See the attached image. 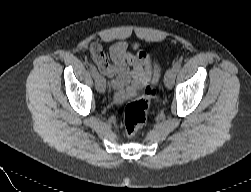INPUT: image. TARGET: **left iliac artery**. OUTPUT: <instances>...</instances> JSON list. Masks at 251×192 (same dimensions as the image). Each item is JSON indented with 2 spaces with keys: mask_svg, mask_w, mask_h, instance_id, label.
Wrapping results in <instances>:
<instances>
[{
  "mask_svg": "<svg viewBox=\"0 0 251 192\" xmlns=\"http://www.w3.org/2000/svg\"><path fill=\"white\" fill-rule=\"evenodd\" d=\"M180 68H181V63H180V61H177V62H175V63L173 64V69H174L176 72H178V71L180 70Z\"/></svg>",
  "mask_w": 251,
  "mask_h": 192,
  "instance_id": "obj_1",
  "label": "left iliac artery"
}]
</instances>
